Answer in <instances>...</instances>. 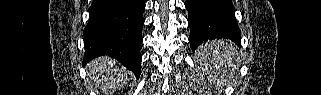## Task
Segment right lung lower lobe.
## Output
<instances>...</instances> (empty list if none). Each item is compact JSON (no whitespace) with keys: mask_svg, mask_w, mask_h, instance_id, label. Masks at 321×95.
Wrapping results in <instances>:
<instances>
[{"mask_svg":"<svg viewBox=\"0 0 321 95\" xmlns=\"http://www.w3.org/2000/svg\"><path fill=\"white\" fill-rule=\"evenodd\" d=\"M144 0H93L83 32L84 63L107 55L139 78Z\"/></svg>","mask_w":321,"mask_h":95,"instance_id":"obj_1","label":"right lung lower lobe"}]
</instances>
